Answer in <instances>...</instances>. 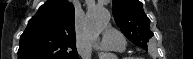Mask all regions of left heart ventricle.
I'll use <instances>...</instances> for the list:
<instances>
[{
    "instance_id": "left-heart-ventricle-1",
    "label": "left heart ventricle",
    "mask_w": 193,
    "mask_h": 59,
    "mask_svg": "<svg viewBox=\"0 0 193 59\" xmlns=\"http://www.w3.org/2000/svg\"><path fill=\"white\" fill-rule=\"evenodd\" d=\"M104 52L106 53V54H108V55H110V54H115L116 52H115V50H113V49H110V48H106V49H104ZM109 59H111V57H109Z\"/></svg>"
}]
</instances>
